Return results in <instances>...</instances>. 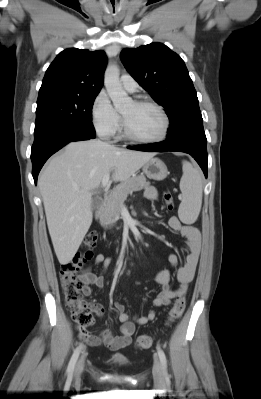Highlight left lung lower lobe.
<instances>
[{"label": "left lung lower lobe", "instance_id": "obj_1", "mask_svg": "<svg viewBox=\"0 0 261 399\" xmlns=\"http://www.w3.org/2000/svg\"><path fill=\"white\" fill-rule=\"evenodd\" d=\"M129 149L148 152H185L190 154L202 168L207 178L208 156L207 139L204 130L192 132L175 140H165L143 146H130Z\"/></svg>", "mask_w": 261, "mask_h": 399}]
</instances>
